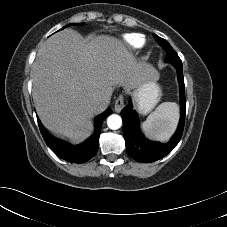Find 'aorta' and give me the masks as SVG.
Masks as SVG:
<instances>
[{
  "mask_svg": "<svg viewBox=\"0 0 227 227\" xmlns=\"http://www.w3.org/2000/svg\"><path fill=\"white\" fill-rule=\"evenodd\" d=\"M107 125L112 130H117L122 126V118L117 114H112L107 118Z\"/></svg>",
  "mask_w": 227,
  "mask_h": 227,
  "instance_id": "obj_1",
  "label": "aorta"
}]
</instances>
